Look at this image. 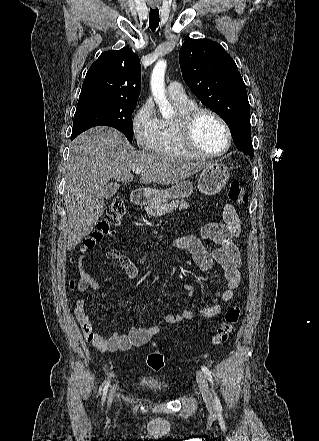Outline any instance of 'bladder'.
Here are the masks:
<instances>
[{
    "mask_svg": "<svg viewBox=\"0 0 319 441\" xmlns=\"http://www.w3.org/2000/svg\"><path fill=\"white\" fill-rule=\"evenodd\" d=\"M141 385L153 390H160L162 388V386L158 382L152 379H143L141 381Z\"/></svg>",
    "mask_w": 319,
    "mask_h": 441,
    "instance_id": "31cf9c89",
    "label": "bladder"
}]
</instances>
